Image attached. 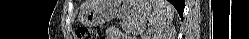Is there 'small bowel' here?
I'll return each instance as SVG.
<instances>
[{"mask_svg":"<svg viewBox=\"0 0 249 39\" xmlns=\"http://www.w3.org/2000/svg\"><path fill=\"white\" fill-rule=\"evenodd\" d=\"M101 39H120L119 30L116 27L108 28L106 34Z\"/></svg>","mask_w":249,"mask_h":39,"instance_id":"c3829d8e","label":"small bowel"}]
</instances>
